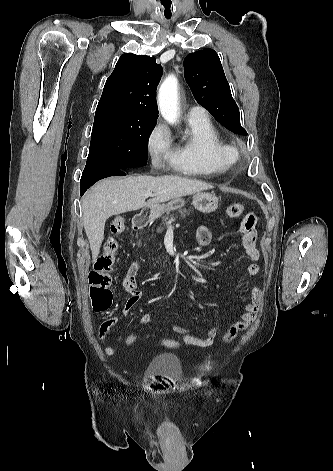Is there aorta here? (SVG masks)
Returning a JSON list of instances; mask_svg holds the SVG:
<instances>
[{"label": "aorta", "mask_w": 333, "mask_h": 471, "mask_svg": "<svg viewBox=\"0 0 333 471\" xmlns=\"http://www.w3.org/2000/svg\"><path fill=\"white\" fill-rule=\"evenodd\" d=\"M159 110L169 124H176L178 119V81L169 75L161 84L158 93Z\"/></svg>", "instance_id": "762f6f07"}]
</instances>
